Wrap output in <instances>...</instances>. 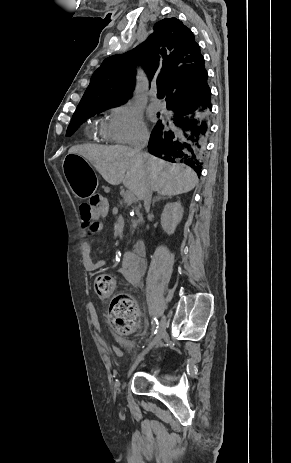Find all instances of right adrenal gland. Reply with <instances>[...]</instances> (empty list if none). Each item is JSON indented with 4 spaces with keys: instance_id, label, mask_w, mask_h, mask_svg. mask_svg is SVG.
Here are the masks:
<instances>
[{
    "instance_id": "1",
    "label": "right adrenal gland",
    "mask_w": 291,
    "mask_h": 463,
    "mask_svg": "<svg viewBox=\"0 0 291 463\" xmlns=\"http://www.w3.org/2000/svg\"><path fill=\"white\" fill-rule=\"evenodd\" d=\"M166 198H171V196L158 195V196L154 197L153 200H152V206H154V204L157 201L164 200Z\"/></svg>"
}]
</instances>
